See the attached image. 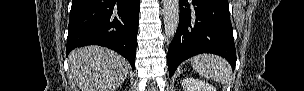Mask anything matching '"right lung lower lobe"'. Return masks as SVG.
Instances as JSON below:
<instances>
[{"label": "right lung lower lobe", "instance_id": "right-lung-lower-lobe-1", "mask_svg": "<svg viewBox=\"0 0 304 91\" xmlns=\"http://www.w3.org/2000/svg\"><path fill=\"white\" fill-rule=\"evenodd\" d=\"M139 0H72L66 55L76 47L101 45L135 68Z\"/></svg>", "mask_w": 304, "mask_h": 91}]
</instances>
